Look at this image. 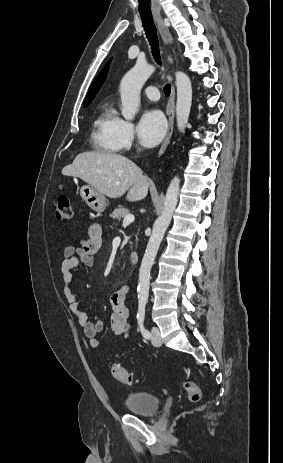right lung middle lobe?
<instances>
[{"label":"right lung middle lobe","mask_w":283,"mask_h":463,"mask_svg":"<svg viewBox=\"0 0 283 463\" xmlns=\"http://www.w3.org/2000/svg\"><path fill=\"white\" fill-rule=\"evenodd\" d=\"M89 104H84V107L88 106Z\"/></svg>","instance_id":"obj_1"}]
</instances>
